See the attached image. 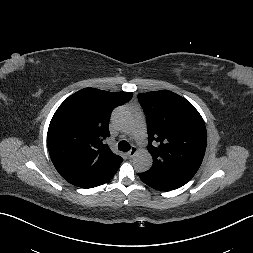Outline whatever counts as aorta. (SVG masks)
I'll list each match as a JSON object with an SVG mask.
<instances>
[{
	"mask_svg": "<svg viewBox=\"0 0 253 253\" xmlns=\"http://www.w3.org/2000/svg\"><path fill=\"white\" fill-rule=\"evenodd\" d=\"M113 122L121 129H126L133 124L132 114L123 108L114 111ZM152 156L147 151L138 152L133 158V166L137 172H145L152 166Z\"/></svg>",
	"mask_w": 253,
	"mask_h": 253,
	"instance_id": "1",
	"label": "aorta"
}]
</instances>
